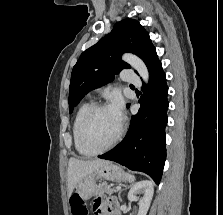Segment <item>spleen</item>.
<instances>
[{"instance_id":"obj_1","label":"spleen","mask_w":223,"mask_h":215,"mask_svg":"<svg viewBox=\"0 0 223 215\" xmlns=\"http://www.w3.org/2000/svg\"><path fill=\"white\" fill-rule=\"evenodd\" d=\"M127 179L128 181H134L135 177L134 175H130V173H127Z\"/></svg>"}]
</instances>
